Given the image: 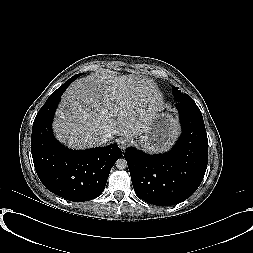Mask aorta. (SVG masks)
Listing matches in <instances>:
<instances>
[{
  "label": "aorta",
  "mask_w": 253,
  "mask_h": 253,
  "mask_svg": "<svg viewBox=\"0 0 253 253\" xmlns=\"http://www.w3.org/2000/svg\"><path fill=\"white\" fill-rule=\"evenodd\" d=\"M116 167L119 169V170H123L125 168H127V161L125 158H119L116 163H115Z\"/></svg>",
  "instance_id": "aorta-1"
}]
</instances>
